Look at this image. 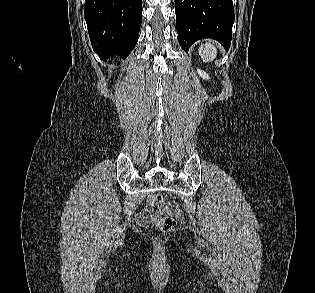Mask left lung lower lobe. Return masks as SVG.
<instances>
[{"label": "left lung lower lobe", "instance_id": "1", "mask_svg": "<svg viewBox=\"0 0 315 293\" xmlns=\"http://www.w3.org/2000/svg\"><path fill=\"white\" fill-rule=\"evenodd\" d=\"M175 12L183 50L204 38L215 39L229 49L234 22L232 0H175Z\"/></svg>", "mask_w": 315, "mask_h": 293}]
</instances>
